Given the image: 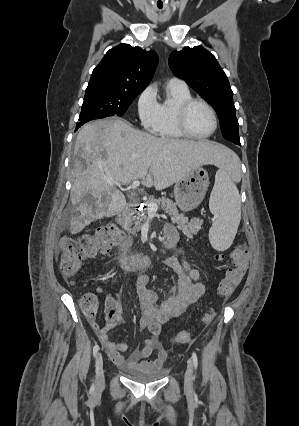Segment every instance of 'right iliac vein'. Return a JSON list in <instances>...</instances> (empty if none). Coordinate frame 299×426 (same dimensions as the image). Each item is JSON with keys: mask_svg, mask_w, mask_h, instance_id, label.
<instances>
[{"mask_svg": "<svg viewBox=\"0 0 299 426\" xmlns=\"http://www.w3.org/2000/svg\"><path fill=\"white\" fill-rule=\"evenodd\" d=\"M96 383L98 387L103 386L104 384V369H103V357L99 352L96 356Z\"/></svg>", "mask_w": 299, "mask_h": 426, "instance_id": "obj_1", "label": "right iliac vein"}]
</instances>
